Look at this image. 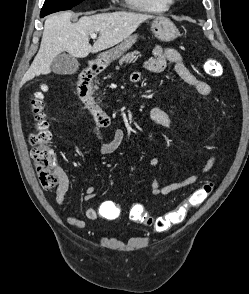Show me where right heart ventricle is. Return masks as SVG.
I'll use <instances>...</instances> for the list:
<instances>
[{
	"instance_id": "e07e8e85",
	"label": "right heart ventricle",
	"mask_w": 249,
	"mask_h": 294,
	"mask_svg": "<svg viewBox=\"0 0 249 294\" xmlns=\"http://www.w3.org/2000/svg\"><path fill=\"white\" fill-rule=\"evenodd\" d=\"M127 5L136 11L160 13L167 11L173 0H125Z\"/></svg>"
}]
</instances>
